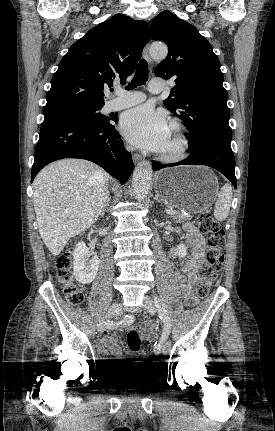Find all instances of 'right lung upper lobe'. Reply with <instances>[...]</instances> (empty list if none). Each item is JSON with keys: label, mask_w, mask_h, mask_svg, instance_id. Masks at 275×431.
<instances>
[{"label": "right lung upper lobe", "mask_w": 275, "mask_h": 431, "mask_svg": "<svg viewBox=\"0 0 275 431\" xmlns=\"http://www.w3.org/2000/svg\"><path fill=\"white\" fill-rule=\"evenodd\" d=\"M150 39L149 26L116 14L74 43L58 65L44 113L104 105L103 90L125 82Z\"/></svg>", "instance_id": "right-lung-upper-lobe-1"}]
</instances>
